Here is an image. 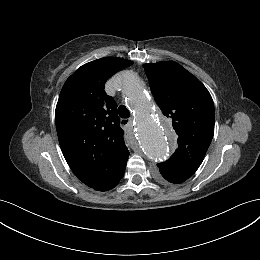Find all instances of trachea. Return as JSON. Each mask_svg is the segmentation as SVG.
<instances>
[{
    "label": "trachea",
    "instance_id": "1",
    "mask_svg": "<svg viewBox=\"0 0 260 260\" xmlns=\"http://www.w3.org/2000/svg\"><path fill=\"white\" fill-rule=\"evenodd\" d=\"M118 114L121 118H129L130 117V112L124 105H120L118 107Z\"/></svg>",
    "mask_w": 260,
    "mask_h": 260
}]
</instances>
